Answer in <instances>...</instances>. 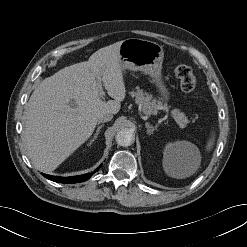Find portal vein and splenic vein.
<instances>
[{
  "instance_id": "18ae733b",
  "label": "portal vein and splenic vein",
  "mask_w": 247,
  "mask_h": 247,
  "mask_svg": "<svg viewBox=\"0 0 247 247\" xmlns=\"http://www.w3.org/2000/svg\"><path fill=\"white\" fill-rule=\"evenodd\" d=\"M98 91H99V96L101 98H103V96H104V90H103V87H102L101 84L98 85ZM170 116L180 125V127L183 128V126L178 122V120H177V118H176V116H175L174 113H170Z\"/></svg>"
}]
</instances>
